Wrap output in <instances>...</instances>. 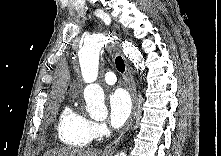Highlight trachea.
I'll return each instance as SVG.
<instances>
[{
  "instance_id": "obj_1",
  "label": "trachea",
  "mask_w": 221,
  "mask_h": 156,
  "mask_svg": "<svg viewBox=\"0 0 221 156\" xmlns=\"http://www.w3.org/2000/svg\"><path fill=\"white\" fill-rule=\"evenodd\" d=\"M115 64L119 72L123 73L125 71V64L121 56L115 58Z\"/></svg>"
}]
</instances>
